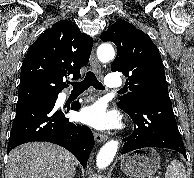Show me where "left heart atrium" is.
Wrapping results in <instances>:
<instances>
[{
	"label": "left heart atrium",
	"mask_w": 194,
	"mask_h": 178,
	"mask_svg": "<svg viewBox=\"0 0 194 178\" xmlns=\"http://www.w3.org/2000/svg\"><path fill=\"white\" fill-rule=\"evenodd\" d=\"M80 119L83 123L98 130L112 129L119 125L118 115L108 111L103 103L85 107L80 112Z\"/></svg>",
	"instance_id": "39dd6f15"
}]
</instances>
